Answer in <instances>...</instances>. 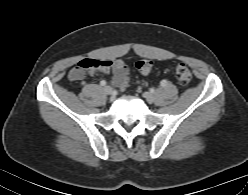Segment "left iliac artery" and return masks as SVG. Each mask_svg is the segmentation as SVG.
I'll return each instance as SVG.
<instances>
[{
	"mask_svg": "<svg viewBox=\"0 0 248 195\" xmlns=\"http://www.w3.org/2000/svg\"><path fill=\"white\" fill-rule=\"evenodd\" d=\"M166 84H167V81H166V80H162V81L160 82V85H161V86H166Z\"/></svg>",
	"mask_w": 248,
	"mask_h": 195,
	"instance_id": "left-iliac-artery-1",
	"label": "left iliac artery"
}]
</instances>
